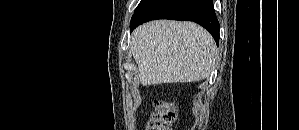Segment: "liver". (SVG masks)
Returning a JSON list of instances; mask_svg holds the SVG:
<instances>
[{"label": "liver", "mask_w": 299, "mask_h": 130, "mask_svg": "<svg viewBox=\"0 0 299 130\" xmlns=\"http://www.w3.org/2000/svg\"><path fill=\"white\" fill-rule=\"evenodd\" d=\"M130 50L144 86L196 82L215 68L217 47L212 36L193 22L156 20L139 26Z\"/></svg>", "instance_id": "obj_1"}]
</instances>
